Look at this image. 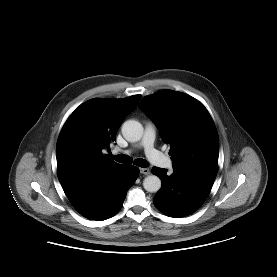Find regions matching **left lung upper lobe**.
Returning <instances> with one entry per match:
<instances>
[{"mask_svg":"<svg viewBox=\"0 0 277 277\" xmlns=\"http://www.w3.org/2000/svg\"><path fill=\"white\" fill-rule=\"evenodd\" d=\"M139 107L171 145L175 172L217 175L218 133L202 103L182 92L162 90L144 97Z\"/></svg>","mask_w":277,"mask_h":277,"instance_id":"1","label":"left lung upper lobe"}]
</instances>
